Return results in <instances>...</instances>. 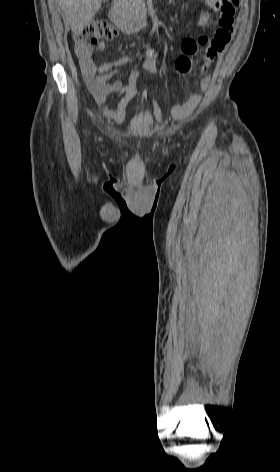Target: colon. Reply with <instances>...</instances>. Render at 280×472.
Wrapping results in <instances>:
<instances>
[{"mask_svg": "<svg viewBox=\"0 0 280 472\" xmlns=\"http://www.w3.org/2000/svg\"><path fill=\"white\" fill-rule=\"evenodd\" d=\"M239 0H213L212 6L220 11L219 24L229 25L233 21ZM118 34L116 28L105 21L90 23L81 32L75 34L76 43L83 44L91 49L99 46L101 39H112ZM177 71L182 75H188L192 70V62L181 58L176 63Z\"/></svg>", "mask_w": 280, "mask_h": 472, "instance_id": "5ec220e1", "label": "colon"}]
</instances>
